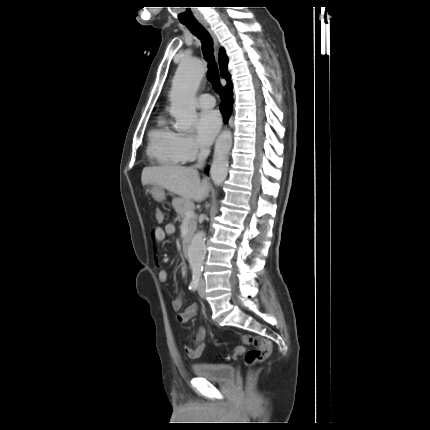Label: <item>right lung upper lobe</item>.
<instances>
[{
    "instance_id": "right-lung-upper-lobe-1",
    "label": "right lung upper lobe",
    "mask_w": 430,
    "mask_h": 430,
    "mask_svg": "<svg viewBox=\"0 0 430 430\" xmlns=\"http://www.w3.org/2000/svg\"><path fill=\"white\" fill-rule=\"evenodd\" d=\"M219 65H220L221 77L226 79L227 85H230L231 84L230 76L227 73L228 58L225 54L224 49H221L219 53Z\"/></svg>"
}]
</instances>
